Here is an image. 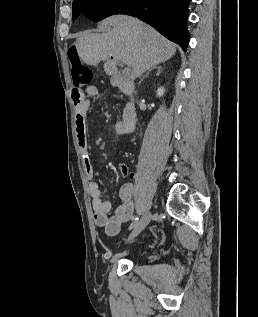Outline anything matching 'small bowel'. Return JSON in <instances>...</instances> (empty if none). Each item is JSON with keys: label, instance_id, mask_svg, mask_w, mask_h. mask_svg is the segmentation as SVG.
<instances>
[{"label": "small bowel", "instance_id": "c3829d8e", "mask_svg": "<svg viewBox=\"0 0 258 317\" xmlns=\"http://www.w3.org/2000/svg\"><path fill=\"white\" fill-rule=\"evenodd\" d=\"M90 108L89 101L78 107L75 115V130L79 149L82 153L84 168L90 180L88 190L93 208V219L98 227L105 230L106 235L115 236L120 232L121 226L130 221L135 211L134 189L131 183H124L119 190L121 204L114 215L110 216L111 203L102 198V193L97 182L93 181L94 169L90 156V146L87 135V113ZM135 112L131 105H125L120 121L116 124L119 134H128L134 129ZM119 172L123 177H133L132 172L124 163L119 164Z\"/></svg>", "mask_w": 258, "mask_h": 317}]
</instances>
